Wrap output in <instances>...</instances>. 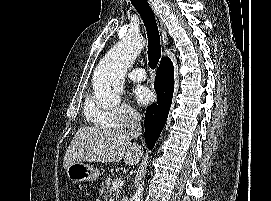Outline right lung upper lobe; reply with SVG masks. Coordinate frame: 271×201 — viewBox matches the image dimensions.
<instances>
[{
  "label": "right lung upper lobe",
  "instance_id": "1",
  "mask_svg": "<svg viewBox=\"0 0 271 201\" xmlns=\"http://www.w3.org/2000/svg\"><path fill=\"white\" fill-rule=\"evenodd\" d=\"M165 60H169V58L163 57V58L161 59V62H160V63L164 62Z\"/></svg>",
  "mask_w": 271,
  "mask_h": 201
}]
</instances>
